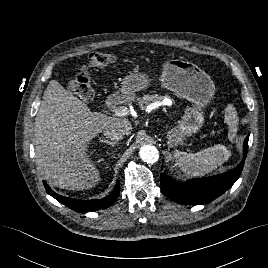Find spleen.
I'll list each match as a JSON object with an SVG mask.
<instances>
[{
	"mask_svg": "<svg viewBox=\"0 0 268 268\" xmlns=\"http://www.w3.org/2000/svg\"><path fill=\"white\" fill-rule=\"evenodd\" d=\"M225 122L229 126L228 138L232 141L237 132L238 115L233 105L225 109ZM231 156V151L224 145H214L196 153H187L175 150L174 157L177 165L188 175L197 177L203 176L218 166H221Z\"/></svg>",
	"mask_w": 268,
	"mask_h": 268,
	"instance_id": "1",
	"label": "spleen"
}]
</instances>
